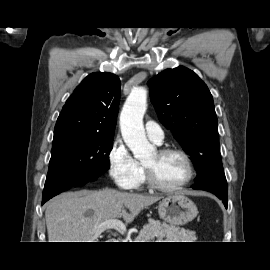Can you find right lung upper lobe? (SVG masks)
I'll use <instances>...</instances> for the list:
<instances>
[{"mask_svg": "<svg viewBox=\"0 0 270 270\" xmlns=\"http://www.w3.org/2000/svg\"><path fill=\"white\" fill-rule=\"evenodd\" d=\"M120 80L107 72L88 75L66 101L54 133L78 132L114 136Z\"/></svg>", "mask_w": 270, "mask_h": 270, "instance_id": "1", "label": "right lung upper lobe"}]
</instances>
